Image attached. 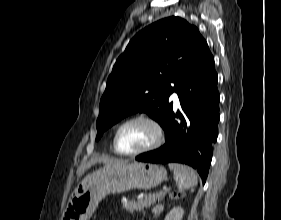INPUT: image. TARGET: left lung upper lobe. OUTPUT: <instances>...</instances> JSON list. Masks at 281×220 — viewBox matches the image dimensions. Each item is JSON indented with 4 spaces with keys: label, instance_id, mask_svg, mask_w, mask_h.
<instances>
[{
    "label": "left lung upper lobe",
    "instance_id": "5c2ea615",
    "mask_svg": "<svg viewBox=\"0 0 281 220\" xmlns=\"http://www.w3.org/2000/svg\"><path fill=\"white\" fill-rule=\"evenodd\" d=\"M208 49L197 27L180 17L164 18L139 31L108 77L100 101L96 140L135 112L147 113L163 128L173 110L169 96Z\"/></svg>",
    "mask_w": 281,
    "mask_h": 220
}]
</instances>
